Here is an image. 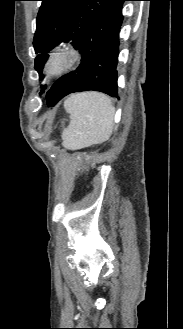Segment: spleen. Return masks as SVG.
I'll list each match as a JSON object with an SVG mask.
<instances>
[{
  "label": "spleen",
  "mask_w": 183,
  "mask_h": 329,
  "mask_svg": "<svg viewBox=\"0 0 183 329\" xmlns=\"http://www.w3.org/2000/svg\"><path fill=\"white\" fill-rule=\"evenodd\" d=\"M70 123L64 132L63 145L77 150L109 139L113 131L115 108L111 99L99 92L70 95L64 102Z\"/></svg>",
  "instance_id": "1"
}]
</instances>
